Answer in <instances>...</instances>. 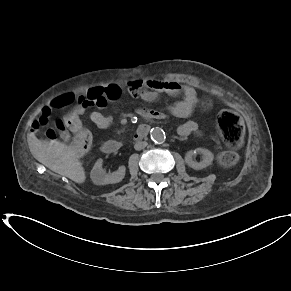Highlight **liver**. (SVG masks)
I'll return each instance as SVG.
<instances>
[{
	"mask_svg": "<svg viewBox=\"0 0 291 291\" xmlns=\"http://www.w3.org/2000/svg\"><path fill=\"white\" fill-rule=\"evenodd\" d=\"M28 145L32 155L52 171L76 183L85 182V170L75 147L59 140H39L35 136L28 139Z\"/></svg>",
	"mask_w": 291,
	"mask_h": 291,
	"instance_id": "obj_1",
	"label": "liver"
}]
</instances>
